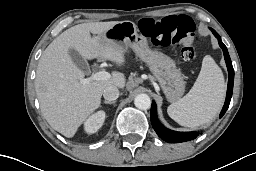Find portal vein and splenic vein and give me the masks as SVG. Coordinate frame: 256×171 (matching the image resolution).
Wrapping results in <instances>:
<instances>
[{"label":"portal vein and splenic vein","instance_id":"portal-vein-and-splenic-vein-1","mask_svg":"<svg viewBox=\"0 0 256 171\" xmlns=\"http://www.w3.org/2000/svg\"><path fill=\"white\" fill-rule=\"evenodd\" d=\"M111 78V74L106 71H99L93 73L88 78H82L81 83L85 86L86 84L90 83L91 81H99V80H108Z\"/></svg>","mask_w":256,"mask_h":171}]
</instances>
